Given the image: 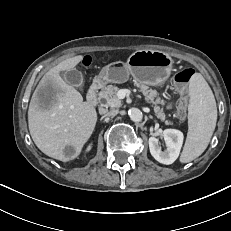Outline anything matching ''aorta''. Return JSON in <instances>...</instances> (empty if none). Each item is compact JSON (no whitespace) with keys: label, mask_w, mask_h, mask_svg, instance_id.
<instances>
[{"label":"aorta","mask_w":231,"mask_h":231,"mask_svg":"<svg viewBox=\"0 0 231 231\" xmlns=\"http://www.w3.org/2000/svg\"><path fill=\"white\" fill-rule=\"evenodd\" d=\"M128 114L133 122H140L143 118V114L138 108H131Z\"/></svg>","instance_id":"1"}]
</instances>
